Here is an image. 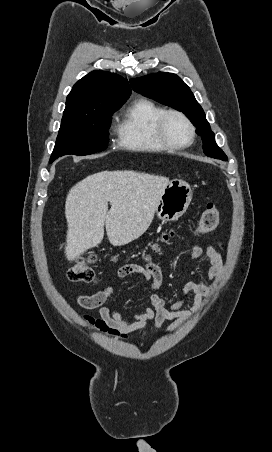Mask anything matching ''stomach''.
I'll use <instances>...</instances> for the list:
<instances>
[{"label": "stomach", "instance_id": "0dacf381", "mask_svg": "<svg viewBox=\"0 0 272 452\" xmlns=\"http://www.w3.org/2000/svg\"><path fill=\"white\" fill-rule=\"evenodd\" d=\"M192 194L187 182L180 179L169 181L155 209L158 219L163 222L177 220L186 212Z\"/></svg>", "mask_w": 272, "mask_h": 452}]
</instances>
